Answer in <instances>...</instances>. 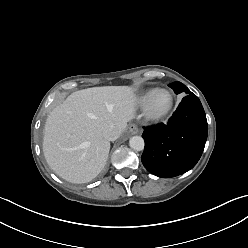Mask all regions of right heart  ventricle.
<instances>
[{"label": "right heart ventricle", "mask_w": 248, "mask_h": 248, "mask_svg": "<svg viewBox=\"0 0 248 248\" xmlns=\"http://www.w3.org/2000/svg\"><path fill=\"white\" fill-rule=\"evenodd\" d=\"M152 91H153V90H152ZM152 91H151V92H152ZM151 92L147 93V94L143 97L142 103H144V102L146 101L147 97L149 96V94H150Z\"/></svg>", "instance_id": "1"}]
</instances>
